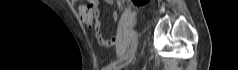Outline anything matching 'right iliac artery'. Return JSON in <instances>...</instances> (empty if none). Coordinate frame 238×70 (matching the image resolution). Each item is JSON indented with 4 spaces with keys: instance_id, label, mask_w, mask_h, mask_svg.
Returning <instances> with one entry per match:
<instances>
[{
    "instance_id": "1",
    "label": "right iliac artery",
    "mask_w": 238,
    "mask_h": 70,
    "mask_svg": "<svg viewBox=\"0 0 238 70\" xmlns=\"http://www.w3.org/2000/svg\"><path fill=\"white\" fill-rule=\"evenodd\" d=\"M136 47H137V42H134L125 57H128L129 55H131L135 51ZM115 65H116V62H112L104 70H111Z\"/></svg>"
}]
</instances>
